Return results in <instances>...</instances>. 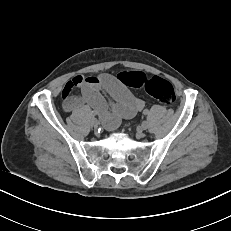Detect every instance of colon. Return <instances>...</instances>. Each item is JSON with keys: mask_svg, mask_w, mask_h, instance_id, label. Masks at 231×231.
I'll return each instance as SVG.
<instances>
[{"mask_svg": "<svg viewBox=\"0 0 231 231\" xmlns=\"http://www.w3.org/2000/svg\"><path fill=\"white\" fill-rule=\"evenodd\" d=\"M117 79L126 87L144 88L151 97L164 105H173L176 101L172 84L163 78L157 76L148 78L142 72L130 71L119 73Z\"/></svg>", "mask_w": 231, "mask_h": 231, "instance_id": "1", "label": "colon"}]
</instances>
